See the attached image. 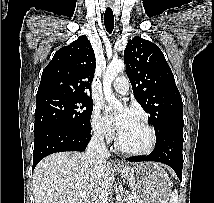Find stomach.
<instances>
[{"mask_svg":"<svg viewBox=\"0 0 214 203\" xmlns=\"http://www.w3.org/2000/svg\"><path fill=\"white\" fill-rule=\"evenodd\" d=\"M129 182L138 203H168L171 182L159 164L143 162L120 170Z\"/></svg>","mask_w":214,"mask_h":203,"instance_id":"0dacf381","label":"stomach"}]
</instances>
